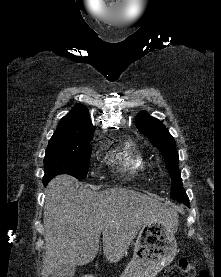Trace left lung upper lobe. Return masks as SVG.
Masks as SVG:
<instances>
[{"label":"left lung upper lobe","mask_w":221,"mask_h":277,"mask_svg":"<svg viewBox=\"0 0 221 277\" xmlns=\"http://www.w3.org/2000/svg\"><path fill=\"white\" fill-rule=\"evenodd\" d=\"M135 123L138 129L145 134L164 155L165 163L168 166L169 174L172 179L171 198L183 202L188 199L180 177L178 168V151L175 147V140L169 134L165 126L156 118L145 112H140Z\"/></svg>","instance_id":"left-lung-upper-lobe-1"}]
</instances>
